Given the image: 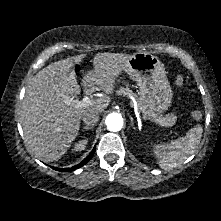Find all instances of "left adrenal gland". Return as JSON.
Returning <instances> with one entry per match:
<instances>
[{
	"label": "left adrenal gland",
	"mask_w": 221,
	"mask_h": 221,
	"mask_svg": "<svg viewBox=\"0 0 221 221\" xmlns=\"http://www.w3.org/2000/svg\"><path fill=\"white\" fill-rule=\"evenodd\" d=\"M130 118V121H131V124L129 126V128H133L134 130L136 129L135 126H134V120H133V117L132 116H129Z\"/></svg>",
	"instance_id": "left-adrenal-gland-1"
}]
</instances>
